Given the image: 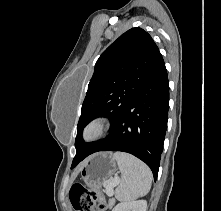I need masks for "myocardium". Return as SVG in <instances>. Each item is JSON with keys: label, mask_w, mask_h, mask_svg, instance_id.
<instances>
[{"label": "myocardium", "mask_w": 221, "mask_h": 211, "mask_svg": "<svg viewBox=\"0 0 221 211\" xmlns=\"http://www.w3.org/2000/svg\"><path fill=\"white\" fill-rule=\"evenodd\" d=\"M109 126L108 119L104 116H96L90 119L83 127L81 137L84 142L91 143L100 139Z\"/></svg>", "instance_id": "f54148a6"}]
</instances>
